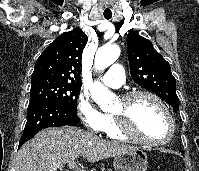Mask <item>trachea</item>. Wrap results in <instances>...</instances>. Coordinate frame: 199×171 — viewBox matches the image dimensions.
I'll use <instances>...</instances> for the list:
<instances>
[{"mask_svg": "<svg viewBox=\"0 0 199 171\" xmlns=\"http://www.w3.org/2000/svg\"><path fill=\"white\" fill-rule=\"evenodd\" d=\"M104 17H105V19H110L112 17V13L111 12H104Z\"/></svg>", "mask_w": 199, "mask_h": 171, "instance_id": "trachea-1", "label": "trachea"}]
</instances>
